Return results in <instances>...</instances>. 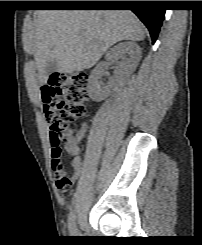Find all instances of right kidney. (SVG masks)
I'll use <instances>...</instances> for the list:
<instances>
[{"label": "right kidney", "mask_w": 202, "mask_h": 245, "mask_svg": "<svg viewBox=\"0 0 202 245\" xmlns=\"http://www.w3.org/2000/svg\"><path fill=\"white\" fill-rule=\"evenodd\" d=\"M118 56H123V61L116 63L115 78L120 82L123 77L129 76L138 66L141 59V48L134 42H121L111 48L105 55V62L98 64L91 72L88 80V91L92 100L101 101L110 94L109 86H101L99 79L104 73L107 63H115Z\"/></svg>", "instance_id": "1"}]
</instances>
